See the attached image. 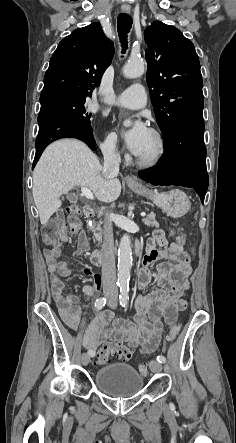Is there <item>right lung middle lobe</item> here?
<instances>
[{"mask_svg":"<svg viewBox=\"0 0 236 443\" xmlns=\"http://www.w3.org/2000/svg\"><path fill=\"white\" fill-rule=\"evenodd\" d=\"M85 96L73 95V94H57L47 98L41 102V106L47 104H56L65 108L69 113L77 118L90 123L91 113L84 108Z\"/></svg>","mask_w":236,"mask_h":443,"instance_id":"obj_1","label":"right lung middle lobe"}]
</instances>
